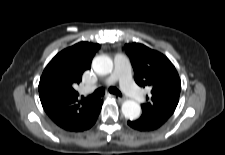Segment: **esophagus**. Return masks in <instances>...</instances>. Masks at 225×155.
Returning <instances> with one entry per match:
<instances>
[{
  "instance_id": "34e87169",
  "label": "esophagus",
  "mask_w": 225,
  "mask_h": 155,
  "mask_svg": "<svg viewBox=\"0 0 225 155\" xmlns=\"http://www.w3.org/2000/svg\"><path fill=\"white\" fill-rule=\"evenodd\" d=\"M113 98H115L118 102H123L124 98L117 96V95H112Z\"/></svg>"
}]
</instances>
